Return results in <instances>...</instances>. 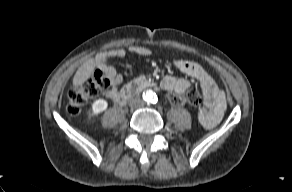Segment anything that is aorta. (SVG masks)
Wrapping results in <instances>:
<instances>
[{
	"instance_id": "762f6f07",
	"label": "aorta",
	"mask_w": 292,
	"mask_h": 192,
	"mask_svg": "<svg viewBox=\"0 0 292 192\" xmlns=\"http://www.w3.org/2000/svg\"><path fill=\"white\" fill-rule=\"evenodd\" d=\"M143 98L147 102H154L156 100V94L152 90H147L143 93Z\"/></svg>"
}]
</instances>
